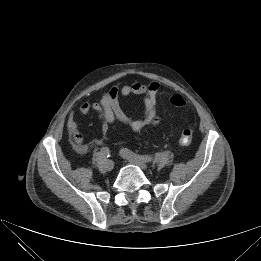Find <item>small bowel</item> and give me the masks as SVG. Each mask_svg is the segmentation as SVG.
Returning a JSON list of instances; mask_svg holds the SVG:
<instances>
[{"label":"small bowel","mask_w":261,"mask_h":261,"mask_svg":"<svg viewBox=\"0 0 261 261\" xmlns=\"http://www.w3.org/2000/svg\"><path fill=\"white\" fill-rule=\"evenodd\" d=\"M162 94L160 84L152 81L148 84L135 81L122 86H113L103 94L99 101L84 102L79 108L82 116H86L90 111L99 114L103 136L109 129H115L116 123L127 127L133 133H139L148 126H155L159 123L160 117L157 113V99ZM131 95L141 96L144 103V114L141 118L130 119L121 107L120 99ZM67 130L76 151L84 154L88 151V146L84 143L82 133L79 131V125L74 118L73 113L67 119ZM98 144L102 139L97 140Z\"/></svg>","instance_id":"1"}]
</instances>
